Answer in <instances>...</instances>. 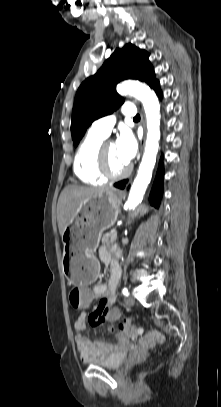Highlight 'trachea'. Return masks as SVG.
I'll return each instance as SVG.
<instances>
[{
	"label": "trachea",
	"instance_id": "obj_1",
	"mask_svg": "<svg viewBox=\"0 0 221 407\" xmlns=\"http://www.w3.org/2000/svg\"><path fill=\"white\" fill-rule=\"evenodd\" d=\"M134 120H140V115L137 114V115L134 117Z\"/></svg>",
	"mask_w": 221,
	"mask_h": 407
}]
</instances>
